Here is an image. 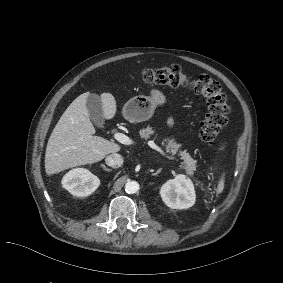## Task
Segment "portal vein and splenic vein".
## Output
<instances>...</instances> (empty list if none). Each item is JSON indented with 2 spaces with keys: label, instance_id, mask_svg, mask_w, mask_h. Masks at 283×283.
Here are the masks:
<instances>
[{
  "label": "portal vein and splenic vein",
  "instance_id": "obj_1",
  "mask_svg": "<svg viewBox=\"0 0 283 283\" xmlns=\"http://www.w3.org/2000/svg\"><path fill=\"white\" fill-rule=\"evenodd\" d=\"M115 138L118 140V142L126 146H132L137 144L134 139L126 136L125 134L118 133L115 135ZM147 144L154 149L156 148V145L152 140L147 141Z\"/></svg>",
  "mask_w": 283,
  "mask_h": 283
}]
</instances>
